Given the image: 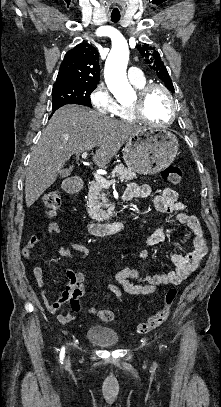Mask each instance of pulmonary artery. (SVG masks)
I'll use <instances>...</instances> for the list:
<instances>
[{"label": "pulmonary artery", "mask_w": 221, "mask_h": 407, "mask_svg": "<svg viewBox=\"0 0 221 407\" xmlns=\"http://www.w3.org/2000/svg\"><path fill=\"white\" fill-rule=\"evenodd\" d=\"M128 78L131 83L139 84L145 81L143 72L138 67H130L128 70Z\"/></svg>", "instance_id": "pulmonary-artery-1"}]
</instances>
